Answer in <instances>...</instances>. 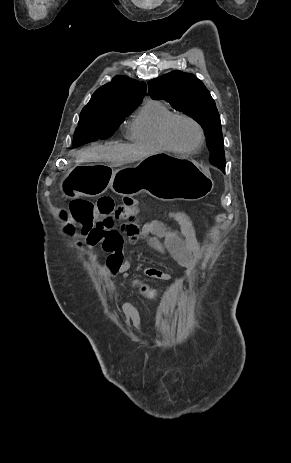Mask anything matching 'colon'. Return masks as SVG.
I'll list each match as a JSON object with an SVG mask.
<instances>
[{
	"mask_svg": "<svg viewBox=\"0 0 291 463\" xmlns=\"http://www.w3.org/2000/svg\"><path fill=\"white\" fill-rule=\"evenodd\" d=\"M133 206H135V202L131 198H125L121 202L108 196L101 197L96 201L74 199L67 209L60 211V217L63 220L78 223L84 232L94 229L109 230L115 229ZM73 231L74 228L71 224L64 227V232L67 235H72ZM134 286L143 296L152 297L153 291L149 286L139 281L135 282Z\"/></svg>",
	"mask_w": 291,
	"mask_h": 463,
	"instance_id": "1",
	"label": "colon"
}]
</instances>
